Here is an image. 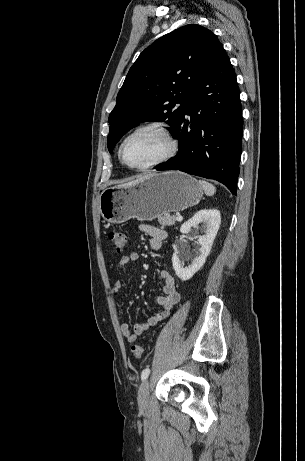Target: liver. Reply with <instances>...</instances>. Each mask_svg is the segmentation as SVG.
I'll use <instances>...</instances> for the list:
<instances>
[{
	"mask_svg": "<svg viewBox=\"0 0 305 461\" xmlns=\"http://www.w3.org/2000/svg\"><path fill=\"white\" fill-rule=\"evenodd\" d=\"M144 177H146V176H144ZM144 177H140V178H138V179H136V180H133V181H130V182H128V183L120 184V185H118L117 187H128V186H131V185H133V184H136V183L139 182L140 180H142Z\"/></svg>",
	"mask_w": 305,
	"mask_h": 461,
	"instance_id": "obj_1",
	"label": "liver"
}]
</instances>
